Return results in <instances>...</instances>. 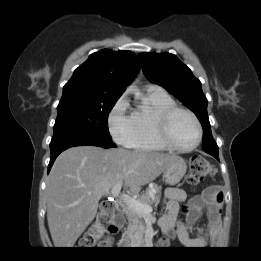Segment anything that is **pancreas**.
I'll list each match as a JSON object with an SVG mask.
<instances>
[{
	"instance_id": "pancreas-1",
	"label": "pancreas",
	"mask_w": 261,
	"mask_h": 261,
	"mask_svg": "<svg viewBox=\"0 0 261 261\" xmlns=\"http://www.w3.org/2000/svg\"><path fill=\"white\" fill-rule=\"evenodd\" d=\"M160 197L161 187L157 184H152L145 192L137 196L136 200L143 204L153 206L159 203ZM122 211L128 220L127 228L122 234V237L132 244L143 242L145 226L142 221V214L130 208L126 203H124Z\"/></svg>"
}]
</instances>
